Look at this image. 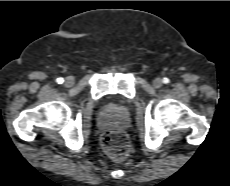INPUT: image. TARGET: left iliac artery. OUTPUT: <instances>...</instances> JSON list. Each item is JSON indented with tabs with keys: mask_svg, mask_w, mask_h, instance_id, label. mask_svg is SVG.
I'll list each match as a JSON object with an SVG mask.
<instances>
[{
	"mask_svg": "<svg viewBox=\"0 0 230 186\" xmlns=\"http://www.w3.org/2000/svg\"><path fill=\"white\" fill-rule=\"evenodd\" d=\"M170 82V80L168 79V78H163V83H165V84H168Z\"/></svg>",
	"mask_w": 230,
	"mask_h": 186,
	"instance_id": "obj_1",
	"label": "left iliac artery"
}]
</instances>
